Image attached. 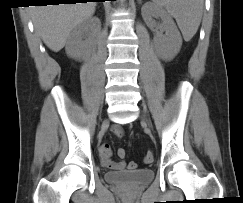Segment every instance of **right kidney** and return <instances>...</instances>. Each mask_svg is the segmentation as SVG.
<instances>
[{"label": "right kidney", "mask_w": 243, "mask_h": 203, "mask_svg": "<svg viewBox=\"0 0 243 203\" xmlns=\"http://www.w3.org/2000/svg\"><path fill=\"white\" fill-rule=\"evenodd\" d=\"M101 28V22L97 17H90L78 24L70 33L66 42V53L74 59L83 58L90 48L86 38L87 34L95 36Z\"/></svg>", "instance_id": "obj_1"}]
</instances>
